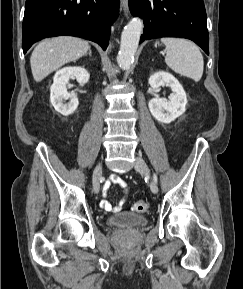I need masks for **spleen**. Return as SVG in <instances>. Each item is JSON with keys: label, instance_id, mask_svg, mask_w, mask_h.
<instances>
[{"label": "spleen", "instance_id": "obj_1", "mask_svg": "<svg viewBox=\"0 0 243 289\" xmlns=\"http://www.w3.org/2000/svg\"><path fill=\"white\" fill-rule=\"evenodd\" d=\"M165 45V62L175 73L198 82L203 75V56L193 42L182 38H162Z\"/></svg>", "mask_w": 243, "mask_h": 289}]
</instances>
